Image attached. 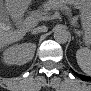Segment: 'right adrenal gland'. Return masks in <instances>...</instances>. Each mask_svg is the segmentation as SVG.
<instances>
[{"label": "right adrenal gland", "mask_w": 91, "mask_h": 91, "mask_svg": "<svg viewBox=\"0 0 91 91\" xmlns=\"http://www.w3.org/2000/svg\"><path fill=\"white\" fill-rule=\"evenodd\" d=\"M31 34H32V35H36L37 33H33V32L31 31Z\"/></svg>", "instance_id": "right-adrenal-gland-1"}]
</instances>
